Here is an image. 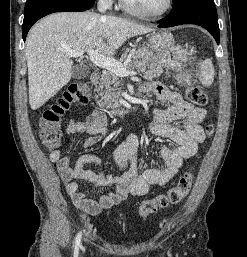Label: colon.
<instances>
[{
	"label": "colon",
	"mask_w": 247,
	"mask_h": 257,
	"mask_svg": "<svg viewBox=\"0 0 247 257\" xmlns=\"http://www.w3.org/2000/svg\"><path fill=\"white\" fill-rule=\"evenodd\" d=\"M187 99L197 105L204 106L207 103L206 93L197 86H190L186 89ZM90 100V85L85 82H74L70 84L61 97L46 111L39 120V135L43 146L49 150H57L62 139L61 121L63 115L73 105L83 106ZM214 131L213 125L206 126V132L211 135ZM194 175L186 172L178 183L166 192L154 198L144 200L139 207L141 218H147L160 208L175 205L182 201L189 193Z\"/></svg>",
	"instance_id": "colon-1"
}]
</instances>
